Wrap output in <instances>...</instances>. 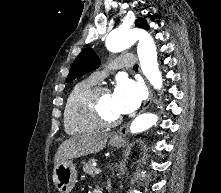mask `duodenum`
I'll list each match as a JSON object with an SVG mask.
<instances>
[{
  "instance_id": "410a0bca",
  "label": "duodenum",
  "mask_w": 221,
  "mask_h": 193,
  "mask_svg": "<svg viewBox=\"0 0 221 193\" xmlns=\"http://www.w3.org/2000/svg\"><path fill=\"white\" fill-rule=\"evenodd\" d=\"M93 193H103V191L99 190V189H96V190L93 191Z\"/></svg>"
}]
</instances>
